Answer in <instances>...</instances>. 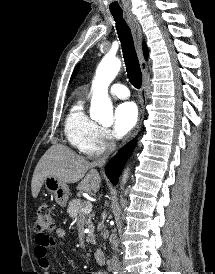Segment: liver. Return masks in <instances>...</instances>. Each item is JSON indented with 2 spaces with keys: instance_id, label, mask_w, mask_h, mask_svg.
Returning a JSON list of instances; mask_svg holds the SVG:
<instances>
[{
  "instance_id": "obj_1",
  "label": "liver",
  "mask_w": 215,
  "mask_h": 274,
  "mask_svg": "<svg viewBox=\"0 0 215 274\" xmlns=\"http://www.w3.org/2000/svg\"><path fill=\"white\" fill-rule=\"evenodd\" d=\"M93 167L92 163L69 148L54 144L42 156L34 170L31 182L32 196H38L44 179L48 176H53L63 183L80 181L78 190L96 193L100 188L101 178Z\"/></svg>"
}]
</instances>
